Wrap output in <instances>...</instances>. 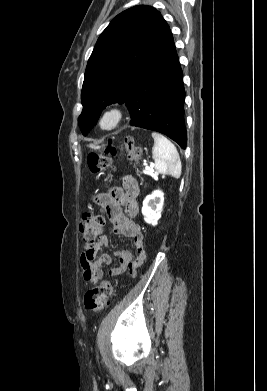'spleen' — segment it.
I'll return each instance as SVG.
<instances>
[{
  "instance_id": "3e777b00",
  "label": "spleen",
  "mask_w": 267,
  "mask_h": 391,
  "mask_svg": "<svg viewBox=\"0 0 267 391\" xmlns=\"http://www.w3.org/2000/svg\"><path fill=\"white\" fill-rule=\"evenodd\" d=\"M154 146L152 157L155 161L154 168L162 174L171 175L174 178L181 176V161L174 144L162 134L153 132Z\"/></svg>"
}]
</instances>
